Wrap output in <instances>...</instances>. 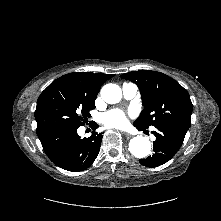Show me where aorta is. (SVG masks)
Segmentation results:
<instances>
[{
	"mask_svg": "<svg viewBox=\"0 0 221 221\" xmlns=\"http://www.w3.org/2000/svg\"><path fill=\"white\" fill-rule=\"evenodd\" d=\"M102 99L109 103L115 104L121 100L122 90L116 84H106L101 89ZM129 151L136 158H145L151 153V143L149 138L138 135L133 137L129 142Z\"/></svg>",
	"mask_w": 221,
	"mask_h": 221,
	"instance_id": "762f6f07",
	"label": "aorta"
}]
</instances>
